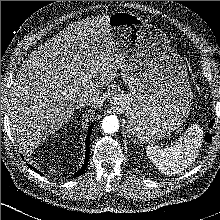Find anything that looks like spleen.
I'll list each match as a JSON object with an SVG mask.
<instances>
[{"label":"spleen","mask_w":220,"mask_h":220,"mask_svg":"<svg viewBox=\"0 0 220 220\" xmlns=\"http://www.w3.org/2000/svg\"><path fill=\"white\" fill-rule=\"evenodd\" d=\"M203 143V130L193 124L187 133L170 146H147L148 158L165 175L178 174L193 164Z\"/></svg>","instance_id":"obj_1"}]
</instances>
